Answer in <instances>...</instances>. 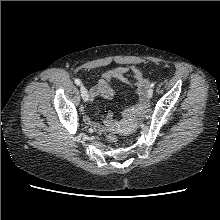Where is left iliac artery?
Masks as SVG:
<instances>
[{
	"label": "left iliac artery",
	"instance_id": "1",
	"mask_svg": "<svg viewBox=\"0 0 220 220\" xmlns=\"http://www.w3.org/2000/svg\"><path fill=\"white\" fill-rule=\"evenodd\" d=\"M150 87H154V83L153 82L151 83Z\"/></svg>",
	"mask_w": 220,
	"mask_h": 220
}]
</instances>
